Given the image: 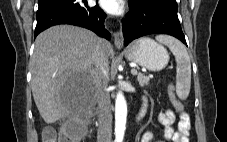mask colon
Masks as SVG:
<instances>
[{
	"label": "colon",
	"instance_id": "obj_1",
	"mask_svg": "<svg viewBox=\"0 0 227 142\" xmlns=\"http://www.w3.org/2000/svg\"><path fill=\"white\" fill-rule=\"evenodd\" d=\"M170 93L177 111H183L181 103L176 99L173 86L170 87ZM85 121V117H80L77 122L68 124L60 131H57L53 127H46L42 132V142H79Z\"/></svg>",
	"mask_w": 227,
	"mask_h": 142
}]
</instances>
